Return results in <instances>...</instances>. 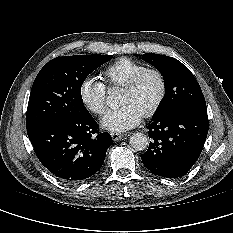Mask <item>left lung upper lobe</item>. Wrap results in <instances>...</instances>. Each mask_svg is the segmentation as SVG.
<instances>
[{"mask_svg":"<svg viewBox=\"0 0 233 233\" xmlns=\"http://www.w3.org/2000/svg\"><path fill=\"white\" fill-rule=\"evenodd\" d=\"M142 59L153 65L163 76L165 98L156 117L182 108L206 109L201 88L191 71L175 58L146 53Z\"/></svg>","mask_w":233,"mask_h":233,"instance_id":"left-lung-upper-lobe-1","label":"left lung upper lobe"}]
</instances>
